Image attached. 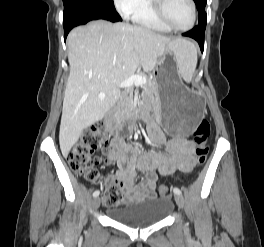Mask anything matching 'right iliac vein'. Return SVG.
I'll return each mask as SVG.
<instances>
[{"instance_id":"63e3f726","label":"right iliac vein","mask_w":264,"mask_h":247,"mask_svg":"<svg viewBox=\"0 0 264 247\" xmlns=\"http://www.w3.org/2000/svg\"><path fill=\"white\" fill-rule=\"evenodd\" d=\"M100 205V199L98 197L94 198L92 201V206L94 209H97Z\"/></svg>"}]
</instances>
